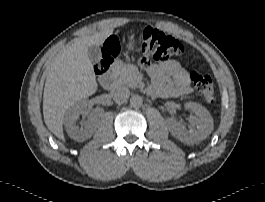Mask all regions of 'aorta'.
Here are the masks:
<instances>
[{
    "label": "aorta",
    "instance_id": "obj_1",
    "mask_svg": "<svg viewBox=\"0 0 265 202\" xmlns=\"http://www.w3.org/2000/svg\"><path fill=\"white\" fill-rule=\"evenodd\" d=\"M130 105L133 108H140L143 105V98L140 95L131 96Z\"/></svg>",
    "mask_w": 265,
    "mask_h": 202
}]
</instances>
